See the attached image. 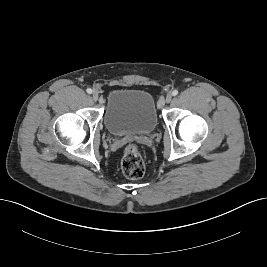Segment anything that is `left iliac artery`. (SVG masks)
<instances>
[{"label":"left iliac artery","mask_w":267,"mask_h":267,"mask_svg":"<svg viewBox=\"0 0 267 267\" xmlns=\"http://www.w3.org/2000/svg\"><path fill=\"white\" fill-rule=\"evenodd\" d=\"M178 94V90H173L172 95L176 96Z\"/></svg>","instance_id":"1"}]
</instances>
